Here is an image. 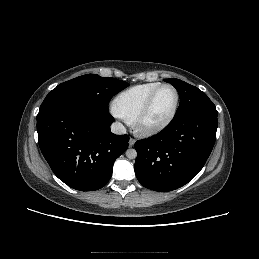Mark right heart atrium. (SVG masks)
<instances>
[{
  "mask_svg": "<svg viewBox=\"0 0 259 259\" xmlns=\"http://www.w3.org/2000/svg\"><path fill=\"white\" fill-rule=\"evenodd\" d=\"M114 115L117 116V117H120L116 111H113ZM121 118V117H120Z\"/></svg>",
  "mask_w": 259,
  "mask_h": 259,
  "instance_id": "d8ad5b80",
  "label": "right heart atrium"
}]
</instances>
